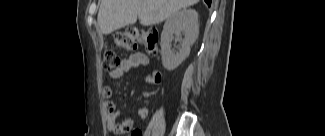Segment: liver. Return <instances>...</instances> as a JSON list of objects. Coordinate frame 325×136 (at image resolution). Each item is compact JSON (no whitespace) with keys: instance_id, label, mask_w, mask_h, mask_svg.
<instances>
[{"instance_id":"6515ba94","label":"liver","mask_w":325,"mask_h":136,"mask_svg":"<svg viewBox=\"0 0 325 136\" xmlns=\"http://www.w3.org/2000/svg\"><path fill=\"white\" fill-rule=\"evenodd\" d=\"M199 0H101L98 25L104 35L134 24L156 25L181 8L198 3Z\"/></svg>"}]
</instances>
